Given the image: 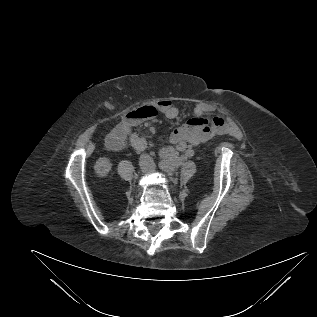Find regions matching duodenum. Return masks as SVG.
<instances>
[{
	"instance_id": "duodenum-1",
	"label": "duodenum",
	"mask_w": 317,
	"mask_h": 317,
	"mask_svg": "<svg viewBox=\"0 0 317 317\" xmlns=\"http://www.w3.org/2000/svg\"><path fill=\"white\" fill-rule=\"evenodd\" d=\"M122 141L121 137L119 136H113L110 140V145L113 148H117L119 143Z\"/></svg>"
}]
</instances>
